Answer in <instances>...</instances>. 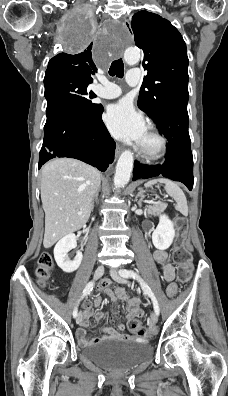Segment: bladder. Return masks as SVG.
<instances>
[{
    "mask_svg": "<svg viewBox=\"0 0 228 396\" xmlns=\"http://www.w3.org/2000/svg\"><path fill=\"white\" fill-rule=\"evenodd\" d=\"M84 358L108 370L133 369L151 359L150 344L127 339H107L81 349Z\"/></svg>",
    "mask_w": 228,
    "mask_h": 396,
    "instance_id": "31cf9c89",
    "label": "bladder"
}]
</instances>
